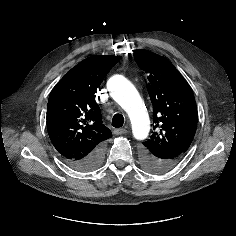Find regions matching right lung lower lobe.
<instances>
[{"mask_svg": "<svg viewBox=\"0 0 236 236\" xmlns=\"http://www.w3.org/2000/svg\"><path fill=\"white\" fill-rule=\"evenodd\" d=\"M105 146L99 145L88 156L82 159L63 158L65 162L72 168L79 171H91L98 168L104 159Z\"/></svg>", "mask_w": 236, "mask_h": 236, "instance_id": "1", "label": "right lung lower lobe"}]
</instances>
